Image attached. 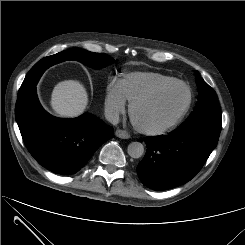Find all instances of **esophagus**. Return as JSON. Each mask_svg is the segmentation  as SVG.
Masks as SVG:
<instances>
[{"mask_svg": "<svg viewBox=\"0 0 245 245\" xmlns=\"http://www.w3.org/2000/svg\"><path fill=\"white\" fill-rule=\"evenodd\" d=\"M115 135L119 138H122V139L130 138V134L124 130H121V129L116 130Z\"/></svg>", "mask_w": 245, "mask_h": 245, "instance_id": "1", "label": "esophagus"}]
</instances>
